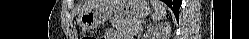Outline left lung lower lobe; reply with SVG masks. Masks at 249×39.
Returning a JSON list of instances; mask_svg holds the SVG:
<instances>
[{
	"instance_id": "0a47b994",
	"label": "left lung lower lobe",
	"mask_w": 249,
	"mask_h": 39,
	"mask_svg": "<svg viewBox=\"0 0 249 39\" xmlns=\"http://www.w3.org/2000/svg\"><path fill=\"white\" fill-rule=\"evenodd\" d=\"M174 12L176 18L179 16V8L181 6V0H163Z\"/></svg>"
}]
</instances>
